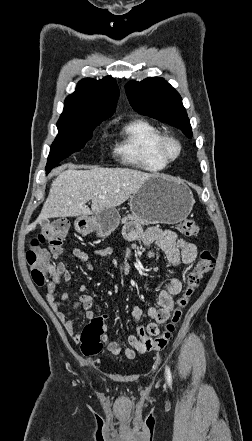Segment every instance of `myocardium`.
Returning a JSON list of instances; mask_svg holds the SVG:
<instances>
[{
  "label": "myocardium",
  "instance_id": "myocardium-1",
  "mask_svg": "<svg viewBox=\"0 0 252 441\" xmlns=\"http://www.w3.org/2000/svg\"><path fill=\"white\" fill-rule=\"evenodd\" d=\"M171 144L176 146V153L174 155H170L168 153V146ZM156 153L163 161L166 163H171L181 156L182 144L173 136L162 135L156 144Z\"/></svg>",
  "mask_w": 252,
  "mask_h": 441
}]
</instances>
